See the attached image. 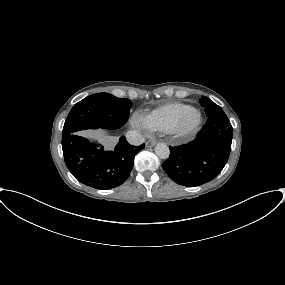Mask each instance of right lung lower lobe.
Returning a JSON list of instances; mask_svg holds the SVG:
<instances>
[{
  "label": "right lung lower lobe",
  "mask_w": 285,
  "mask_h": 285,
  "mask_svg": "<svg viewBox=\"0 0 285 285\" xmlns=\"http://www.w3.org/2000/svg\"><path fill=\"white\" fill-rule=\"evenodd\" d=\"M144 148L130 145L121 136L113 150L88 142L79 134L63 136L62 149L67 168L81 183L96 189L120 186L133 168L135 155Z\"/></svg>",
  "instance_id": "obj_1"
}]
</instances>
